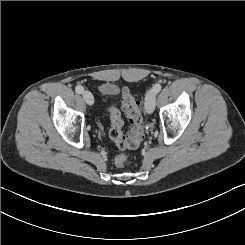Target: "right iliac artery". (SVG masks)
<instances>
[{
	"mask_svg": "<svg viewBox=\"0 0 245 245\" xmlns=\"http://www.w3.org/2000/svg\"><path fill=\"white\" fill-rule=\"evenodd\" d=\"M75 91L79 94H82L84 92V88L82 86H76Z\"/></svg>",
	"mask_w": 245,
	"mask_h": 245,
	"instance_id": "1",
	"label": "right iliac artery"
}]
</instances>
